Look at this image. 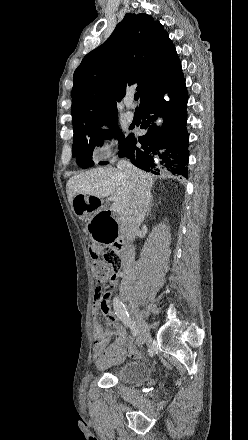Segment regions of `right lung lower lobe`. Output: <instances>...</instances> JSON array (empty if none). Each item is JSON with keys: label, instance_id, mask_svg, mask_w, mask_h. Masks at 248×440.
Wrapping results in <instances>:
<instances>
[{"label": "right lung lower lobe", "instance_id": "right-lung-lower-lobe-1", "mask_svg": "<svg viewBox=\"0 0 248 440\" xmlns=\"http://www.w3.org/2000/svg\"><path fill=\"white\" fill-rule=\"evenodd\" d=\"M168 93L170 101L164 100ZM187 90L184 78L171 87L145 99L140 104L142 118L141 129H146V134L136 138L130 134L126 150L122 157H127L140 169L154 174H159L154 157L159 155L161 164L165 163L167 170L173 175L187 177L189 152L188 133L186 130V105ZM157 117H163L162 127L156 126ZM139 142L140 147L136 144ZM160 149H165L162 154Z\"/></svg>", "mask_w": 248, "mask_h": 440}]
</instances>
